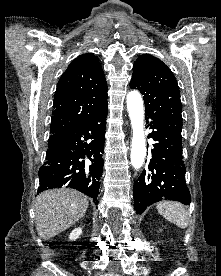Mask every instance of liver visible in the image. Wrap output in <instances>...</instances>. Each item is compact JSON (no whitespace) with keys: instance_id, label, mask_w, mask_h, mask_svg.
<instances>
[{"instance_id":"1","label":"liver","mask_w":221,"mask_h":276,"mask_svg":"<svg viewBox=\"0 0 221 276\" xmlns=\"http://www.w3.org/2000/svg\"><path fill=\"white\" fill-rule=\"evenodd\" d=\"M88 198L69 188L41 193L35 201V225L38 235L48 240L65 231L83 217Z\"/></svg>"}]
</instances>
